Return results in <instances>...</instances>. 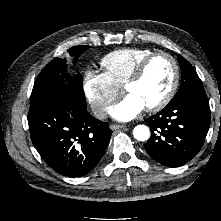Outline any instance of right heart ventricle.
Masks as SVG:
<instances>
[{"mask_svg":"<svg viewBox=\"0 0 221 221\" xmlns=\"http://www.w3.org/2000/svg\"><path fill=\"white\" fill-rule=\"evenodd\" d=\"M153 51L147 48H121L105 55L101 60L104 73L118 86L126 83L137 64Z\"/></svg>","mask_w":221,"mask_h":221,"instance_id":"obj_1","label":"right heart ventricle"}]
</instances>
